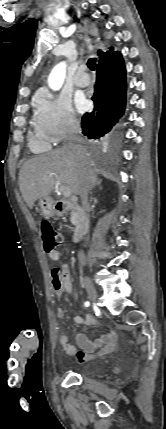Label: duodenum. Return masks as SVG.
Masks as SVG:
<instances>
[{
  "instance_id": "duodenum-1",
  "label": "duodenum",
  "mask_w": 166,
  "mask_h": 429,
  "mask_svg": "<svg viewBox=\"0 0 166 429\" xmlns=\"http://www.w3.org/2000/svg\"><path fill=\"white\" fill-rule=\"evenodd\" d=\"M55 210L58 213H66L72 211L74 213L75 230L73 239L79 241L85 236L90 228V216L86 210L79 204L66 200H58L55 203Z\"/></svg>"
}]
</instances>
